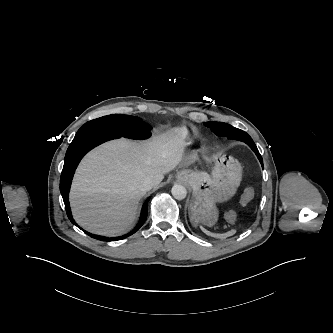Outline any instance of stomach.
Segmentation results:
<instances>
[{"instance_id":"obj_1","label":"stomach","mask_w":333,"mask_h":333,"mask_svg":"<svg viewBox=\"0 0 333 333\" xmlns=\"http://www.w3.org/2000/svg\"><path fill=\"white\" fill-rule=\"evenodd\" d=\"M209 163L212 169L210 174L188 167L176 174V179L186 183L193 191L189 217L194 225L213 226L219 216L216 202L230 199L242 179L241 164L232 155L223 152L213 154Z\"/></svg>"}]
</instances>
